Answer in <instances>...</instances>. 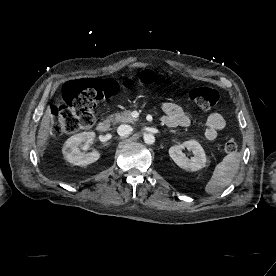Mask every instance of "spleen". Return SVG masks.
<instances>
[{
    "label": "spleen",
    "instance_id": "1",
    "mask_svg": "<svg viewBox=\"0 0 276 276\" xmlns=\"http://www.w3.org/2000/svg\"><path fill=\"white\" fill-rule=\"evenodd\" d=\"M240 153L231 152L215 167L212 177L205 186L207 194H217L227 187L238 173Z\"/></svg>",
    "mask_w": 276,
    "mask_h": 276
}]
</instances>
